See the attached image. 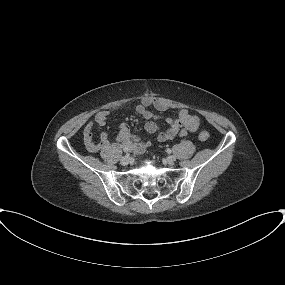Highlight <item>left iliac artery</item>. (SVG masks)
I'll return each instance as SVG.
<instances>
[{
  "instance_id": "44dca946",
  "label": "left iliac artery",
  "mask_w": 285,
  "mask_h": 285,
  "mask_svg": "<svg viewBox=\"0 0 285 285\" xmlns=\"http://www.w3.org/2000/svg\"><path fill=\"white\" fill-rule=\"evenodd\" d=\"M167 153H171V149H167Z\"/></svg>"
}]
</instances>
